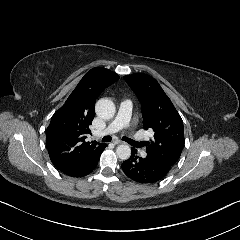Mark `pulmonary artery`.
<instances>
[{"label": "pulmonary artery", "mask_w": 240, "mask_h": 240, "mask_svg": "<svg viewBox=\"0 0 240 240\" xmlns=\"http://www.w3.org/2000/svg\"><path fill=\"white\" fill-rule=\"evenodd\" d=\"M122 104L120 105L118 115L116 119L108 126L106 132L113 133L122 128L123 126L130 125V117L132 113V100L127 97L121 99ZM102 133H97L96 135H101ZM145 155V152L143 153Z\"/></svg>", "instance_id": "pulmonary-artery-1"}]
</instances>
